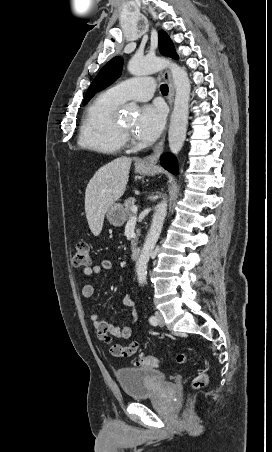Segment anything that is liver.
<instances>
[{
    "label": "liver",
    "instance_id": "6515ba94",
    "mask_svg": "<svg viewBox=\"0 0 272 452\" xmlns=\"http://www.w3.org/2000/svg\"><path fill=\"white\" fill-rule=\"evenodd\" d=\"M132 159L116 158L99 168L89 181L85 192V212L89 228L98 236L107 210L126 190Z\"/></svg>",
    "mask_w": 272,
    "mask_h": 452
}]
</instances>
